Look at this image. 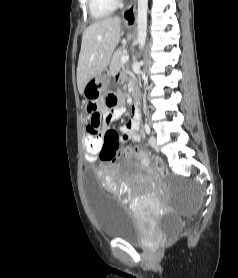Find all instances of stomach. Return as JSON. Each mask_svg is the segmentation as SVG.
Returning a JSON list of instances; mask_svg holds the SVG:
<instances>
[{
  "mask_svg": "<svg viewBox=\"0 0 238 278\" xmlns=\"http://www.w3.org/2000/svg\"><path fill=\"white\" fill-rule=\"evenodd\" d=\"M114 79L111 69H100V74H95L83 90V96L86 100L101 99L104 89H110V82Z\"/></svg>",
  "mask_w": 238,
  "mask_h": 278,
  "instance_id": "1",
  "label": "stomach"
}]
</instances>
